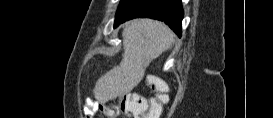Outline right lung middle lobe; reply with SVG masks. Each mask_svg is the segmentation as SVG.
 I'll list each match as a JSON object with an SVG mask.
<instances>
[{
    "mask_svg": "<svg viewBox=\"0 0 273 118\" xmlns=\"http://www.w3.org/2000/svg\"><path fill=\"white\" fill-rule=\"evenodd\" d=\"M124 1H125V0H122L121 3H123ZM121 3H120V4H121Z\"/></svg>",
    "mask_w": 273,
    "mask_h": 118,
    "instance_id": "1",
    "label": "right lung middle lobe"
}]
</instances>
